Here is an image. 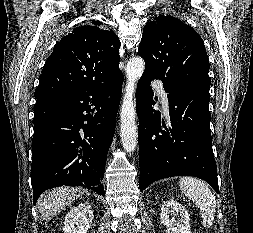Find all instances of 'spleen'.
Instances as JSON below:
<instances>
[{"mask_svg": "<svg viewBox=\"0 0 253 233\" xmlns=\"http://www.w3.org/2000/svg\"><path fill=\"white\" fill-rule=\"evenodd\" d=\"M180 190L185 196L195 201L198 206L203 225L209 228L214 220L216 212V200L206 183L192 177L180 178Z\"/></svg>", "mask_w": 253, "mask_h": 233, "instance_id": "spleen-1", "label": "spleen"}]
</instances>
